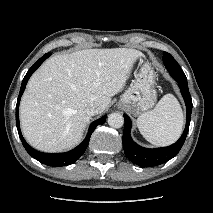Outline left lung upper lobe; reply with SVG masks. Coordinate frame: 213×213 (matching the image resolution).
Returning <instances> with one entry per match:
<instances>
[{
    "mask_svg": "<svg viewBox=\"0 0 213 213\" xmlns=\"http://www.w3.org/2000/svg\"><path fill=\"white\" fill-rule=\"evenodd\" d=\"M163 62L170 73V75L176 80V81H181L187 83V78L180 68L179 64L177 61L172 57L171 54L167 52H163Z\"/></svg>",
    "mask_w": 213,
    "mask_h": 213,
    "instance_id": "left-lung-upper-lobe-1",
    "label": "left lung upper lobe"
}]
</instances>
